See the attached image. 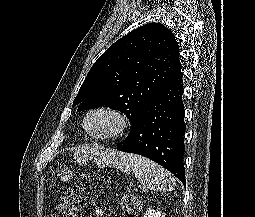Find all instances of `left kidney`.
<instances>
[{
	"mask_svg": "<svg viewBox=\"0 0 255 217\" xmlns=\"http://www.w3.org/2000/svg\"><path fill=\"white\" fill-rule=\"evenodd\" d=\"M143 217H165V215L161 211H156L149 208Z\"/></svg>",
	"mask_w": 255,
	"mask_h": 217,
	"instance_id": "1",
	"label": "left kidney"
}]
</instances>
